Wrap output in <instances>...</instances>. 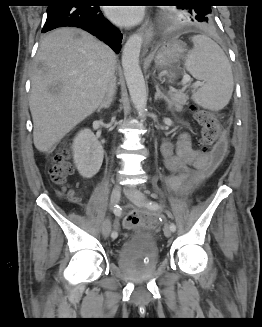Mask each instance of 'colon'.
Returning a JSON list of instances; mask_svg holds the SVG:
<instances>
[{
  "label": "colon",
  "instance_id": "colon-1",
  "mask_svg": "<svg viewBox=\"0 0 262 327\" xmlns=\"http://www.w3.org/2000/svg\"><path fill=\"white\" fill-rule=\"evenodd\" d=\"M194 116L199 125V147L203 153H209L211 168L219 167L224 161L228 143L223 136L222 127L216 116L209 110L193 106ZM73 172V165L69 160V152L64 149L57 153L49 170L51 180L57 185H64L67 177ZM145 222L154 226L159 222L156 215L129 214L123 219V226L132 228Z\"/></svg>",
  "mask_w": 262,
  "mask_h": 327
}]
</instances>
